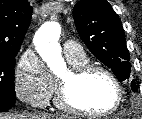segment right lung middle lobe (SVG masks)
Returning <instances> with one entry per match:
<instances>
[{
    "mask_svg": "<svg viewBox=\"0 0 142 119\" xmlns=\"http://www.w3.org/2000/svg\"><path fill=\"white\" fill-rule=\"evenodd\" d=\"M18 52L0 53V98L15 100L14 66Z\"/></svg>",
    "mask_w": 142,
    "mask_h": 119,
    "instance_id": "1",
    "label": "right lung middle lobe"
}]
</instances>
